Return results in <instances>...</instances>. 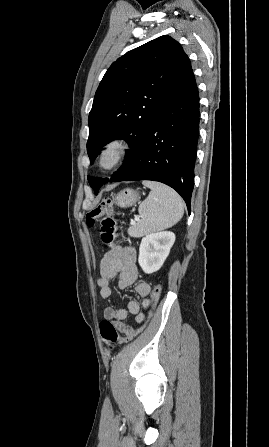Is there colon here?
<instances>
[{
  "instance_id": "1",
  "label": "colon",
  "mask_w": 269,
  "mask_h": 447,
  "mask_svg": "<svg viewBox=\"0 0 269 447\" xmlns=\"http://www.w3.org/2000/svg\"><path fill=\"white\" fill-rule=\"evenodd\" d=\"M115 207L110 200H105L95 206L86 217L87 225L90 227L98 226L100 232V239L106 245H111L114 242L117 222L114 217ZM162 293V287L160 285L154 286L151 292V302L148 308V313H151ZM145 317L140 320V323H146ZM137 330L129 336H122V334L116 329L114 324L109 320H102L99 324V330L104 341L109 345L110 348L117 343H131L133 339L138 338L142 332L145 331V326L137 325L135 327Z\"/></svg>"
}]
</instances>
